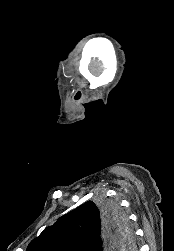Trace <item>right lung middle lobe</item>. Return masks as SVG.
I'll return each mask as SVG.
<instances>
[{"instance_id":"obj_1","label":"right lung middle lobe","mask_w":174,"mask_h":251,"mask_svg":"<svg viewBox=\"0 0 174 251\" xmlns=\"http://www.w3.org/2000/svg\"><path fill=\"white\" fill-rule=\"evenodd\" d=\"M97 206L107 221L115 227V234L122 238V244L119 250H133L135 248L133 231L127 215L118 202L103 198L98 201Z\"/></svg>"}]
</instances>
